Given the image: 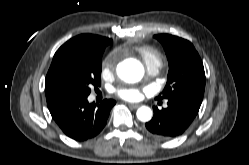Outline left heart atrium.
Instances as JSON below:
<instances>
[{
    "label": "left heart atrium",
    "mask_w": 249,
    "mask_h": 165,
    "mask_svg": "<svg viewBox=\"0 0 249 165\" xmlns=\"http://www.w3.org/2000/svg\"><path fill=\"white\" fill-rule=\"evenodd\" d=\"M144 88H138V87H119L115 90L116 94L127 101H138L142 98V96L145 93Z\"/></svg>",
    "instance_id": "39dd6f15"
}]
</instances>
